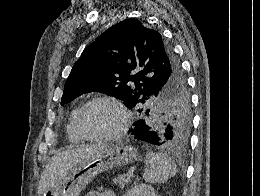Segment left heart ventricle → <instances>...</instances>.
Returning a JSON list of instances; mask_svg holds the SVG:
<instances>
[{
	"instance_id": "b2bd125f",
	"label": "left heart ventricle",
	"mask_w": 260,
	"mask_h": 196,
	"mask_svg": "<svg viewBox=\"0 0 260 196\" xmlns=\"http://www.w3.org/2000/svg\"><path fill=\"white\" fill-rule=\"evenodd\" d=\"M118 109L108 103L98 102L89 106L81 116V124L89 135L102 136L114 132L121 125Z\"/></svg>"
}]
</instances>
